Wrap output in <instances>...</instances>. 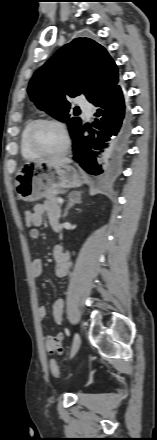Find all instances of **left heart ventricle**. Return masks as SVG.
Instances as JSON below:
<instances>
[{
  "label": "left heart ventricle",
  "mask_w": 157,
  "mask_h": 440,
  "mask_svg": "<svg viewBox=\"0 0 157 440\" xmlns=\"http://www.w3.org/2000/svg\"><path fill=\"white\" fill-rule=\"evenodd\" d=\"M38 146L46 152H58L65 145L62 131L54 125H43L36 134Z\"/></svg>",
  "instance_id": "1"
}]
</instances>
